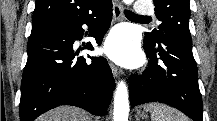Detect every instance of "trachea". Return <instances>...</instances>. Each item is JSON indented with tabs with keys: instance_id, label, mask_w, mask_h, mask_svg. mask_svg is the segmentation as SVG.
I'll return each instance as SVG.
<instances>
[{
	"instance_id": "obj_1",
	"label": "trachea",
	"mask_w": 217,
	"mask_h": 121,
	"mask_svg": "<svg viewBox=\"0 0 217 121\" xmlns=\"http://www.w3.org/2000/svg\"><path fill=\"white\" fill-rule=\"evenodd\" d=\"M124 13H125V15L128 16V17H138V18L143 17V16L137 15V14H135V13H133L132 11H129V10H124Z\"/></svg>"
}]
</instances>
